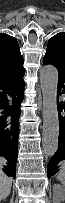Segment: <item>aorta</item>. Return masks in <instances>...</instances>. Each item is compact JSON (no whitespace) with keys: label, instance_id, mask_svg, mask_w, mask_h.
Returning <instances> with one entry per match:
<instances>
[{"label":"aorta","instance_id":"1","mask_svg":"<svg viewBox=\"0 0 65 203\" xmlns=\"http://www.w3.org/2000/svg\"><path fill=\"white\" fill-rule=\"evenodd\" d=\"M57 85V69L52 65L42 67L40 70V88L43 96L42 145L47 157H52L58 150Z\"/></svg>","mask_w":65,"mask_h":203}]
</instances>
